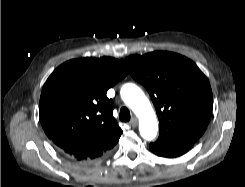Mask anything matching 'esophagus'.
<instances>
[{"mask_svg":"<svg viewBox=\"0 0 245 187\" xmlns=\"http://www.w3.org/2000/svg\"><path fill=\"white\" fill-rule=\"evenodd\" d=\"M130 126L135 128L138 125V120L136 117H133L131 121L129 122Z\"/></svg>","mask_w":245,"mask_h":187,"instance_id":"34e87169","label":"esophagus"}]
</instances>
